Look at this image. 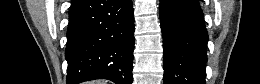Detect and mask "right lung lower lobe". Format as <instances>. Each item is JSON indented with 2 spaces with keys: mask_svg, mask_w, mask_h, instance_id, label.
<instances>
[{
  "mask_svg": "<svg viewBox=\"0 0 260 84\" xmlns=\"http://www.w3.org/2000/svg\"><path fill=\"white\" fill-rule=\"evenodd\" d=\"M132 0H78L71 4L65 56L67 84L108 79L132 84Z\"/></svg>",
  "mask_w": 260,
  "mask_h": 84,
  "instance_id": "obj_1",
  "label": "right lung lower lobe"
}]
</instances>
